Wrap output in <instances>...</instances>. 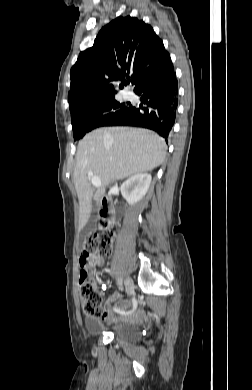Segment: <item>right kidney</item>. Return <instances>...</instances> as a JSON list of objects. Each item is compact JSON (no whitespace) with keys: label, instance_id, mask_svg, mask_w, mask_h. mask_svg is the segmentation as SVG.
Segmentation results:
<instances>
[{"label":"right kidney","instance_id":"ca27d5eb","mask_svg":"<svg viewBox=\"0 0 252 390\" xmlns=\"http://www.w3.org/2000/svg\"><path fill=\"white\" fill-rule=\"evenodd\" d=\"M152 177L148 173H140L130 177L121 185V194L129 205L140 201L147 193Z\"/></svg>","mask_w":252,"mask_h":390}]
</instances>
